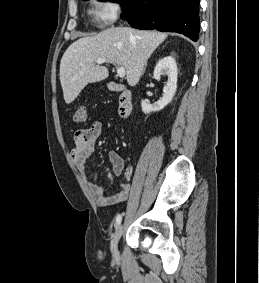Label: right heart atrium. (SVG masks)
Wrapping results in <instances>:
<instances>
[{"label": "right heart atrium", "mask_w": 259, "mask_h": 283, "mask_svg": "<svg viewBox=\"0 0 259 283\" xmlns=\"http://www.w3.org/2000/svg\"><path fill=\"white\" fill-rule=\"evenodd\" d=\"M94 17L101 26L113 24L121 12L119 0H94Z\"/></svg>", "instance_id": "right-heart-atrium-1"}]
</instances>
